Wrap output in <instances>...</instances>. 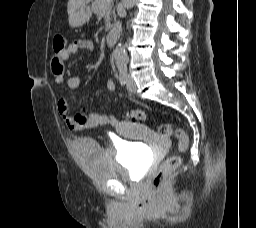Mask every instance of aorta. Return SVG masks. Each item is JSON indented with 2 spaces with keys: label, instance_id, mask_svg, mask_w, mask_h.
Instances as JSON below:
<instances>
[{
  "label": "aorta",
  "instance_id": "obj_1",
  "mask_svg": "<svg viewBox=\"0 0 256 228\" xmlns=\"http://www.w3.org/2000/svg\"><path fill=\"white\" fill-rule=\"evenodd\" d=\"M136 0H122L121 6L123 9H130L134 6ZM114 57L117 66H125L127 61L125 47L118 44L114 50Z\"/></svg>",
  "mask_w": 256,
  "mask_h": 228
}]
</instances>
